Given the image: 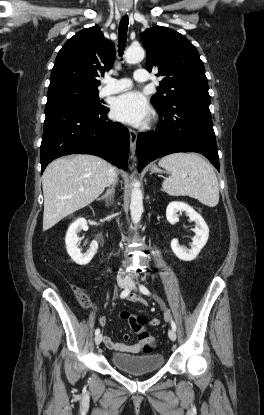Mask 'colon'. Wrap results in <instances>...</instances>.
I'll return each mask as SVG.
<instances>
[{
    "label": "colon",
    "instance_id": "colon-1",
    "mask_svg": "<svg viewBox=\"0 0 264 415\" xmlns=\"http://www.w3.org/2000/svg\"><path fill=\"white\" fill-rule=\"evenodd\" d=\"M77 297H78L80 304L83 307L87 308L90 306L89 298L85 293L79 291L77 292ZM144 322L145 320L143 317H140V316L134 317V323L136 324L138 328H140L144 324ZM138 339L142 343L143 349L147 353H152L156 349V341L149 333L139 332Z\"/></svg>",
    "mask_w": 264,
    "mask_h": 415
}]
</instances>
